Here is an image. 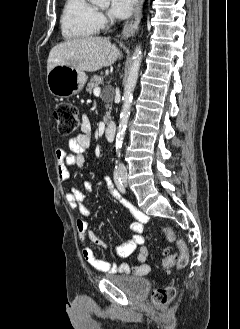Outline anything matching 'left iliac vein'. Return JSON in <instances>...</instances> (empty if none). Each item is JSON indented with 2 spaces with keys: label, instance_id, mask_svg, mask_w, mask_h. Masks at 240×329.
Returning <instances> with one entry per match:
<instances>
[{
  "label": "left iliac vein",
  "instance_id": "left-iliac-vein-1",
  "mask_svg": "<svg viewBox=\"0 0 240 329\" xmlns=\"http://www.w3.org/2000/svg\"><path fill=\"white\" fill-rule=\"evenodd\" d=\"M124 183H125V185H127V182H126V180H124Z\"/></svg>",
  "mask_w": 240,
  "mask_h": 329
}]
</instances>
